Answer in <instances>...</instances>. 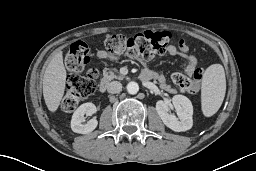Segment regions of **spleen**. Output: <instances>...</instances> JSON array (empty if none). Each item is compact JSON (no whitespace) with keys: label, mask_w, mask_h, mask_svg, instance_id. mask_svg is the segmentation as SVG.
<instances>
[{"label":"spleen","mask_w":256,"mask_h":171,"mask_svg":"<svg viewBox=\"0 0 256 171\" xmlns=\"http://www.w3.org/2000/svg\"><path fill=\"white\" fill-rule=\"evenodd\" d=\"M226 92V78L221 64H212L201 83V108L204 116H213L221 107Z\"/></svg>","instance_id":"1"}]
</instances>
